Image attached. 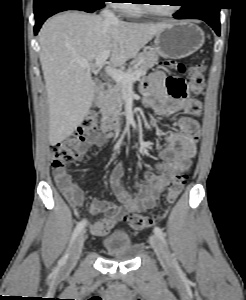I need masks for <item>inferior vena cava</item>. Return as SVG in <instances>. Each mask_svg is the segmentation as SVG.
<instances>
[{
    "label": "inferior vena cava",
    "mask_w": 246,
    "mask_h": 300,
    "mask_svg": "<svg viewBox=\"0 0 246 300\" xmlns=\"http://www.w3.org/2000/svg\"><path fill=\"white\" fill-rule=\"evenodd\" d=\"M102 16L104 19L108 21H118V18L115 16V14L112 11H110L108 8H105L102 11Z\"/></svg>",
    "instance_id": "inferior-vena-cava-1"
}]
</instances>
